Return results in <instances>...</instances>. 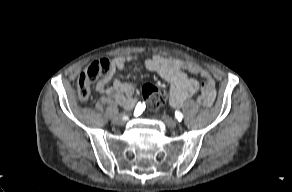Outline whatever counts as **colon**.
<instances>
[{
    "instance_id": "obj_1",
    "label": "colon",
    "mask_w": 292,
    "mask_h": 192,
    "mask_svg": "<svg viewBox=\"0 0 292 192\" xmlns=\"http://www.w3.org/2000/svg\"><path fill=\"white\" fill-rule=\"evenodd\" d=\"M111 64L107 59L93 61L79 76L77 82V96L86 101L91 93V84L99 76L109 72ZM143 99L149 109L160 107L167 98V93L156 86L146 84L142 89Z\"/></svg>"
}]
</instances>
